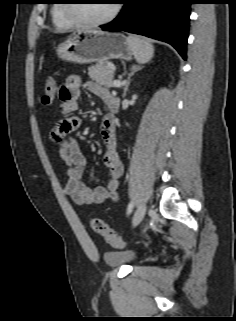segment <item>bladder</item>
Instances as JSON below:
<instances>
[{
    "label": "bladder",
    "mask_w": 236,
    "mask_h": 321,
    "mask_svg": "<svg viewBox=\"0 0 236 321\" xmlns=\"http://www.w3.org/2000/svg\"><path fill=\"white\" fill-rule=\"evenodd\" d=\"M138 255L133 251L107 252L104 254L105 261L112 267L134 263Z\"/></svg>",
    "instance_id": "obj_1"
}]
</instances>
